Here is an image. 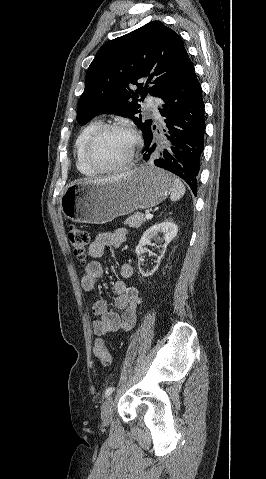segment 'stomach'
I'll return each instance as SVG.
<instances>
[{"label": "stomach", "mask_w": 266, "mask_h": 479, "mask_svg": "<svg viewBox=\"0 0 266 479\" xmlns=\"http://www.w3.org/2000/svg\"><path fill=\"white\" fill-rule=\"evenodd\" d=\"M172 188L170 173L143 165L120 180L69 185L60 198V208L71 221L104 224L135 210L158 205Z\"/></svg>", "instance_id": "0dacf381"}]
</instances>
